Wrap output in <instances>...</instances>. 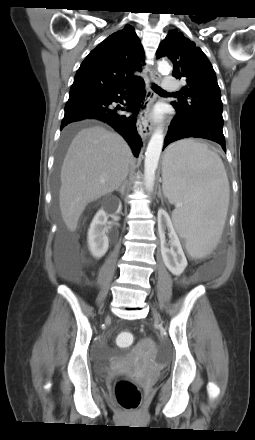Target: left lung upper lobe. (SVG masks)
<instances>
[{
    "label": "left lung upper lobe",
    "instance_id": "left-lung-upper-lobe-1",
    "mask_svg": "<svg viewBox=\"0 0 255 440\" xmlns=\"http://www.w3.org/2000/svg\"><path fill=\"white\" fill-rule=\"evenodd\" d=\"M157 58L167 56L173 62L172 75L185 78L187 85L181 89L178 102H172L177 113L190 116L214 117L223 121L221 91L215 71L195 43L177 29L169 31L156 52Z\"/></svg>",
    "mask_w": 255,
    "mask_h": 440
}]
</instances>
